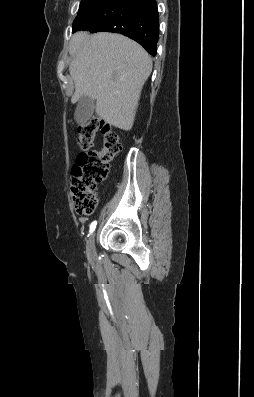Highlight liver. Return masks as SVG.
Wrapping results in <instances>:
<instances>
[{
  "instance_id": "1",
  "label": "liver",
  "mask_w": 254,
  "mask_h": 397,
  "mask_svg": "<svg viewBox=\"0 0 254 397\" xmlns=\"http://www.w3.org/2000/svg\"><path fill=\"white\" fill-rule=\"evenodd\" d=\"M70 75L75 84L72 102L88 96L105 122L132 128L152 60L135 41L116 33H75L69 45Z\"/></svg>"
}]
</instances>
